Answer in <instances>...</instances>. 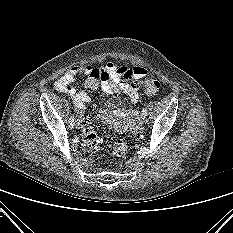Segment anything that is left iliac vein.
I'll return each instance as SVG.
<instances>
[{"label": "left iliac vein", "mask_w": 233, "mask_h": 233, "mask_svg": "<svg viewBox=\"0 0 233 233\" xmlns=\"http://www.w3.org/2000/svg\"><path fill=\"white\" fill-rule=\"evenodd\" d=\"M146 122H147L146 116L142 115V116L140 117V124H145Z\"/></svg>", "instance_id": "4c4485c4"}]
</instances>
